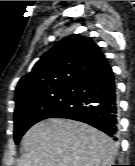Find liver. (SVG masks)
Returning a JSON list of instances; mask_svg holds the SVG:
<instances>
[{
	"mask_svg": "<svg viewBox=\"0 0 135 166\" xmlns=\"http://www.w3.org/2000/svg\"><path fill=\"white\" fill-rule=\"evenodd\" d=\"M26 154L17 166H108L116 146L103 132L79 121L49 118L23 136Z\"/></svg>",
	"mask_w": 135,
	"mask_h": 166,
	"instance_id": "1",
	"label": "liver"
}]
</instances>
